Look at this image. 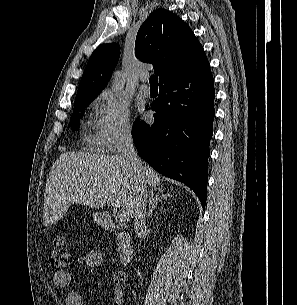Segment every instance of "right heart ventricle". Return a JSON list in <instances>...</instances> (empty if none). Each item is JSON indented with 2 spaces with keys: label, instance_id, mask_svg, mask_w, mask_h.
I'll return each mask as SVG.
<instances>
[{
  "label": "right heart ventricle",
  "instance_id": "obj_1",
  "mask_svg": "<svg viewBox=\"0 0 297 305\" xmlns=\"http://www.w3.org/2000/svg\"><path fill=\"white\" fill-rule=\"evenodd\" d=\"M82 138L85 146L90 150L98 151L103 148L98 126L92 120L86 122L85 132Z\"/></svg>",
  "mask_w": 297,
  "mask_h": 305
}]
</instances>
